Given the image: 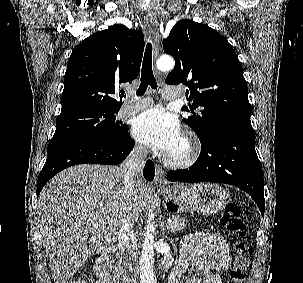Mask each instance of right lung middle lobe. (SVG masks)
Returning <instances> with one entry per match:
<instances>
[{"instance_id":"obj_1","label":"right lung middle lobe","mask_w":303,"mask_h":283,"mask_svg":"<svg viewBox=\"0 0 303 283\" xmlns=\"http://www.w3.org/2000/svg\"><path fill=\"white\" fill-rule=\"evenodd\" d=\"M118 111L87 110L58 116L53 138L85 136L98 139H117L128 132L126 125L115 121Z\"/></svg>"}]
</instances>
